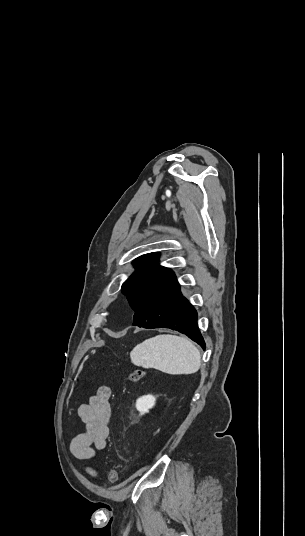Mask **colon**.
Returning <instances> with one entry per match:
<instances>
[{
	"instance_id": "obj_1",
	"label": "colon",
	"mask_w": 305,
	"mask_h": 536,
	"mask_svg": "<svg viewBox=\"0 0 305 536\" xmlns=\"http://www.w3.org/2000/svg\"><path fill=\"white\" fill-rule=\"evenodd\" d=\"M143 377V371L139 368L133 369L129 375L128 378L131 382H138ZM109 481L111 483H116L118 480V473L117 470L114 467H111L108 472Z\"/></svg>"
}]
</instances>
